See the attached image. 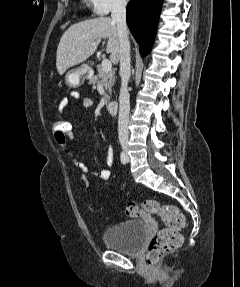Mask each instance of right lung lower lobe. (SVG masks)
<instances>
[{"instance_id": "right-lung-lower-lobe-1", "label": "right lung lower lobe", "mask_w": 240, "mask_h": 287, "mask_svg": "<svg viewBox=\"0 0 240 287\" xmlns=\"http://www.w3.org/2000/svg\"><path fill=\"white\" fill-rule=\"evenodd\" d=\"M163 0H130L126 11L128 27L140 44V54L149 53Z\"/></svg>"}]
</instances>
